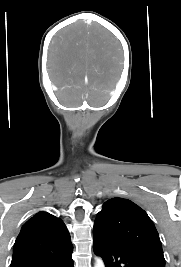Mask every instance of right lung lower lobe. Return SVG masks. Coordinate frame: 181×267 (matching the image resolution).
<instances>
[{
    "instance_id": "obj_1",
    "label": "right lung lower lobe",
    "mask_w": 181,
    "mask_h": 267,
    "mask_svg": "<svg viewBox=\"0 0 181 267\" xmlns=\"http://www.w3.org/2000/svg\"><path fill=\"white\" fill-rule=\"evenodd\" d=\"M72 249L46 256L14 259L10 267H73Z\"/></svg>"
}]
</instances>
